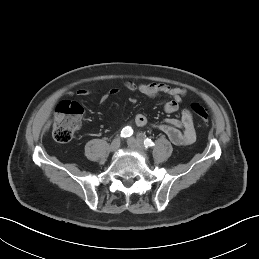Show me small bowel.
<instances>
[{
  "mask_svg": "<svg viewBox=\"0 0 259 259\" xmlns=\"http://www.w3.org/2000/svg\"><path fill=\"white\" fill-rule=\"evenodd\" d=\"M122 91L128 93L139 92L152 98L161 94L168 95L170 99L163 103V110L168 114L175 113L187 95V89L183 87L170 86L165 83H135L132 80H126L122 88L116 87L109 92L102 93L101 102H105L109 97ZM93 92L91 89L81 88L77 90L76 95L86 97ZM67 94L72 95L73 92H68ZM134 122L141 127L147 125V119L142 113L135 115ZM155 128L165 133L169 140L177 146H189L196 140L193 114L189 109H183L180 117L168 118L164 123L156 125Z\"/></svg>",
  "mask_w": 259,
  "mask_h": 259,
  "instance_id": "c3829d8e",
  "label": "small bowel"
}]
</instances>
